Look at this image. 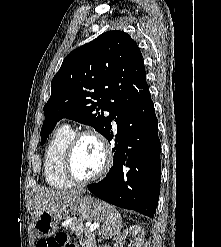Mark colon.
<instances>
[{"mask_svg": "<svg viewBox=\"0 0 221 247\" xmlns=\"http://www.w3.org/2000/svg\"><path fill=\"white\" fill-rule=\"evenodd\" d=\"M40 247H68V238L65 234H57L45 240L43 243H39ZM74 246V245H72Z\"/></svg>", "mask_w": 221, "mask_h": 247, "instance_id": "5ec220e1", "label": "colon"}]
</instances>
